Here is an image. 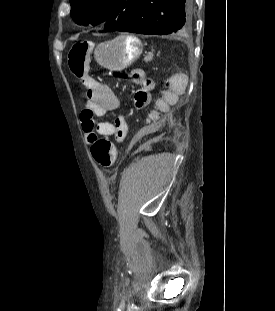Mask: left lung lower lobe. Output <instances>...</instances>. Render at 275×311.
Returning <instances> with one entry per match:
<instances>
[{"mask_svg": "<svg viewBox=\"0 0 275 311\" xmlns=\"http://www.w3.org/2000/svg\"><path fill=\"white\" fill-rule=\"evenodd\" d=\"M193 0H141L118 30L146 35L184 34L192 28Z\"/></svg>", "mask_w": 275, "mask_h": 311, "instance_id": "obj_1", "label": "left lung lower lobe"}]
</instances>
